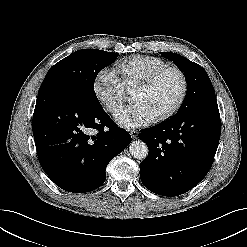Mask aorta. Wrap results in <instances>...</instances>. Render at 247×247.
I'll use <instances>...</instances> for the list:
<instances>
[{
    "instance_id": "aorta-1",
    "label": "aorta",
    "mask_w": 247,
    "mask_h": 247,
    "mask_svg": "<svg viewBox=\"0 0 247 247\" xmlns=\"http://www.w3.org/2000/svg\"><path fill=\"white\" fill-rule=\"evenodd\" d=\"M129 152L134 158L143 160L148 155V147L146 143L141 140L133 141L130 144Z\"/></svg>"
}]
</instances>
